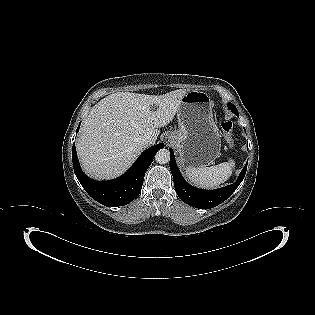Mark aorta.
Instances as JSON below:
<instances>
[{"mask_svg": "<svg viewBox=\"0 0 315 315\" xmlns=\"http://www.w3.org/2000/svg\"><path fill=\"white\" fill-rule=\"evenodd\" d=\"M156 162L159 164H166L170 160V152L163 148L157 151L155 155Z\"/></svg>", "mask_w": 315, "mask_h": 315, "instance_id": "1", "label": "aorta"}]
</instances>
